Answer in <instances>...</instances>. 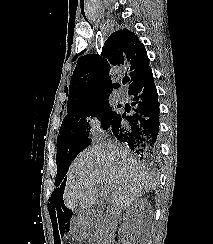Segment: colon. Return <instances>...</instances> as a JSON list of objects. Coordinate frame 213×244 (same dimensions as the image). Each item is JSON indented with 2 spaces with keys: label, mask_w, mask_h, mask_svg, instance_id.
Returning <instances> with one entry per match:
<instances>
[{
  "label": "colon",
  "mask_w": 213,
  "mask_h": 244,
  "mask_svg": "<svg viewBox=\"0 0 213 244\" xmlns=\"http://www.w3.org/2000/svg\"><path fill=\"white\" fill-rule=\"evenodd\" d=\"M64 244H73V243H71V242H65Z\"/></svg>",
  "instance_id": "1"
}]
</instances>
